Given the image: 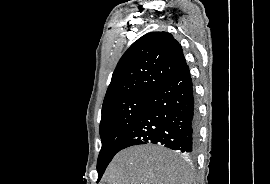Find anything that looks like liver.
I'll return each mask as SVG.
<instances>
[{"label": "liver", "mask_w": 270, "mask_h": 184, "mask_svg": "<svg viewBox=\"0 0 270 184\" xmlns=\"http://www.w3.org/2000/svg\"><path fill=\"white\" fill-rule=\"evenodd\" d=\"M189 180V171L173 160L171 152L155 145L120 151L104 175L108 184H189Z\"/></svg>", "instance_id": "liver-1"}]
</instances>
